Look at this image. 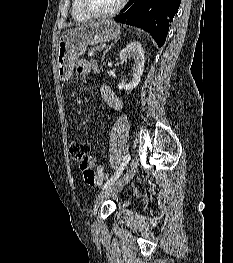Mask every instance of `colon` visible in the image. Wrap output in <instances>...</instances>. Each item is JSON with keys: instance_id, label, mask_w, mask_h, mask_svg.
Returning a JSON list of instances; mask_svg holds the SVG:
<instances>
[{"instance_id": "5ec220e1", "label": "colon", "mask_w": 233, "mask_h": 263, "mask_svg": "<svg viewBox=\"0 0 233 263\" xmlns=\"http://www.w3.org/2000/svg\"><path fill=\"white\" fill-rule=\"evenodd\" d=\"M90 147L89 144L83 141H73L70 145V156L71 159L80 164L84 178L89 185H93L97 179L96 174L93 170L87 168L86 160L88 158ZM99 177L104 181L107 178L105 171L99 173Z\"/></svg>"}]
</instances>
